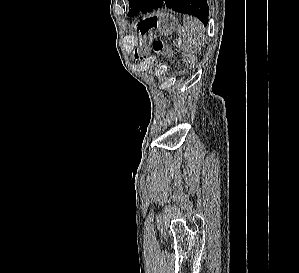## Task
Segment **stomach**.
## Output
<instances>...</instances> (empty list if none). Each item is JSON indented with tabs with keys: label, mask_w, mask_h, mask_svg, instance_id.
<instances>
[{
	"label": "stomach",
	"mask_w": 299,
	"mask_h": 273,
	"mask_svg": "<svg viewBox=\"0 0 299 273\" xmlns=\"http://www.w3.org/2000/svg\"><path fill=\"white\" fill-rule=\"evenodd\" d=\"M177 26L178 21L171 14L155 13L141 20L137 29L140 31L144 43H146L154 33L168 35L175 31Z\"/></svg>",
	"instance_id": "stomach-1"
}]
</instances>
